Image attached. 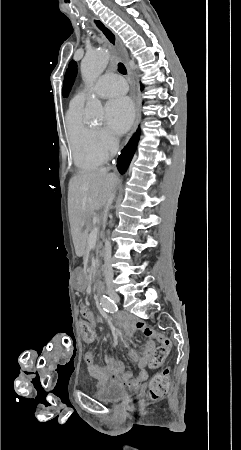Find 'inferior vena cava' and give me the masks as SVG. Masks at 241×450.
<instances>
[{
    "label": "inferior vena cava",
    "instance_id": "1",
    "mask_svg": "<svg viewBox=\"0 0 241 450\" xmlns=\"http://www.w3.org/2000/svg\"><path fill=\"white\" fill-rule=\"evenodd\" d=\"M113 198H114V196L112 194V198H110L109 202H107V204H106V210H105L106 214L109 210V206H111V204H112ZM111 254H112L111 244H110V242H108V240H105L104 276H105V280H106L107 284H108V282H112L113 276H114L112 262H111Z\"/></svg>",
    "mask_w": 241,
    "mask_h": 450
}]
</instances>
